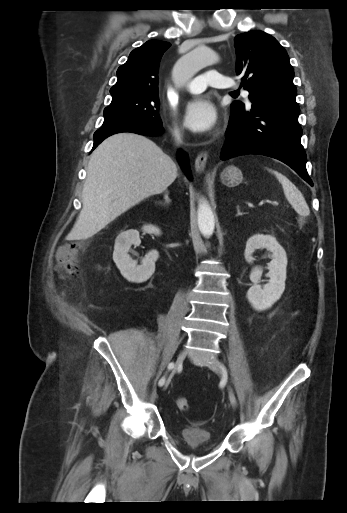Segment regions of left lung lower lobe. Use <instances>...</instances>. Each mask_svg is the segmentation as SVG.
<instances>
[{
    "label": "left lung lower lobe",
    "mask_w": 347,
    "mask_h": 513,
    "mask_svg": "<svg viewBox=\"0 0 347 513\" xmlns=\"http://www.w3.org/2000/svg\"><path fill=\"white\" fill-rule=\"evenodd\" d=\"M244 106H231V116L221 159L245 154H260L278 159L313 186L306 170V154L300 139L299 106L295 100L268 98Z\"/></svg>",
    "instance_id": "1"
}]
</instances>
